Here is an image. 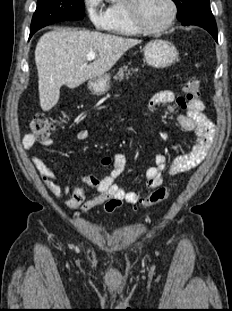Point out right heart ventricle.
<instances>
[{
	"mask_svg": "<svg viewBox=\"0 0 232 311\" xmlns=\"http://www.w3.org/2000/svg\"><path fill=\"white\" fill-rule=\"evenodd\" d=\"M108 24L106 29L122 36H137L140 32L130 22L126 9V0H114L107 9Z\"/></svg>",
	"mask_w": 232,
	"mask_h": 311,
	"instance_id": "right-heart-ventricle-1",
	"label": "right heart ventricle"
}]
</instances>
